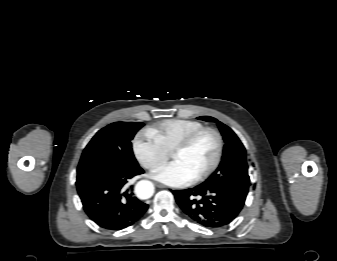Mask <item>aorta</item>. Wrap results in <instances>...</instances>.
<instances>
[{
	"label": "aorta",
	"instance_id": "aorta-1",
	"mask_svg": "<svg viewBox=\"0 0 337 261\" xmlns=\"http://www.w3.org/2000/svg\"><path fill=\"white\" fill-rule=\"evenodd\" d=\"M135 193L140 199H148L154 193V186L151 181L141 180L135 186Z\"/></svg>",
	"mask_w": 337,
	"mask_h": 261
}]
</instances>
